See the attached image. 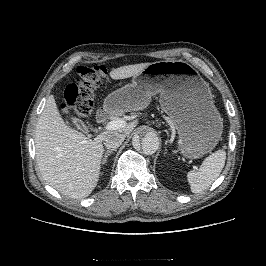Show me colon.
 <instances>
[{
    "label": "colon",
    "instance_id": "1",
    "mask_svg": "<svg viewBox=\"0 0 266 266\" xmlns=\"http://www.w3.org/2000/svg\"><path fill=\"white\" fill-rule=\"evenodd\" d=\"M107 70L103 65H80L77 67L74 81L64 92L63 108L68 119L90 113L95 91L105 81Z\"/></svg>",
    "mask_w": 266,
    "mask_h": 266
}]
</instances>
